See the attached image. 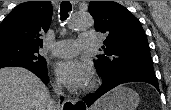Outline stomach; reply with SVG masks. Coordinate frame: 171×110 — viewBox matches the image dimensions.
<instances>
[{"label":"stomach","mask_w":171,"mask_h":110,"mask_svg":"<svg viewBox=\"0 0 171 110\" xmlns=\"http://www.w3.org/2000/svg\"><path fill=\"white\" fill-rule=\"evenodd\" d=\"M99 110H136L139 104L138 94L127 87L119 86L105 95Z\"/></svg>","instance_id":"obj_1"}]
</instances>
